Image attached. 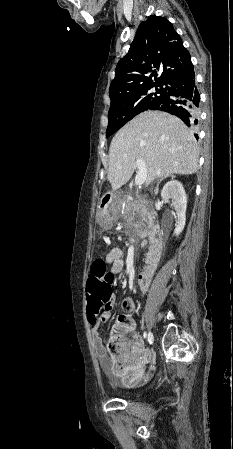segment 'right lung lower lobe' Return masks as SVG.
Wrapping results in <instances>:
<instances>
[{
    "instance_id": "right-lung-lower-lobe-1",
    "label": "right lung lower lobe",
    "mask_w": 233,
    "mask_h": 449,
    "mask_svg": "<svg viewBox=\"0 0 233 449\" xmlns=\"http://www.w3.org/2000/svg\"><path fill=\"white\" fill-rule=\"evenodd\" d=\"M165 84L168 85L166 86L167 93L155 110L176 115L193 129L198 124L200 103V94L195 84L193 66L170 78ZM195 137L198 139L197 134H195Z\"/></svg>"
}]
</instances>
